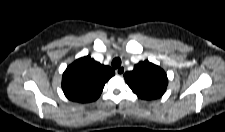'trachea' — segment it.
<instances>
[{
    "label": "trachea",
    "instance_id": "3493384b",
    "mask_svg": "<svg viewBox=\"0 0 225 132\" xmlns=\"http://www.w3.org/2000/svg\"><path fill=\"white\" fill-rule=\"evenodd\" d=\"M121 66V59L120 58H114L112 61V67L113 68H119Z\"/></svg>",
    "mask_w": 225,
    "mask_h": 132
}]
</instances>
